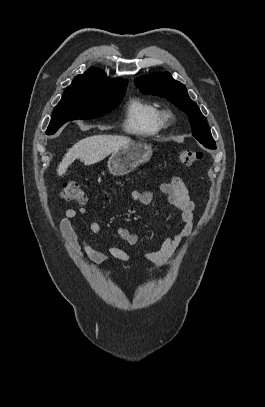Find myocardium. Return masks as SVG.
Segmentation results:
<instances>
[{
  "mask_svg": "<svg viewBox=\"0 0 265 407\" xmlns=\"http://www.w3.org/2000/svg\"><path fill=\"white\" fill-rule=\"evenodd\" d=\"M173 118V113L170 110H165L161 113L162 123H167Z\"/></svg>",
  "mask_w": 265,
  "mask_h": 407,
  "instance_id": "obj_1",
  "label": "myocardium"
}]
</instances>
